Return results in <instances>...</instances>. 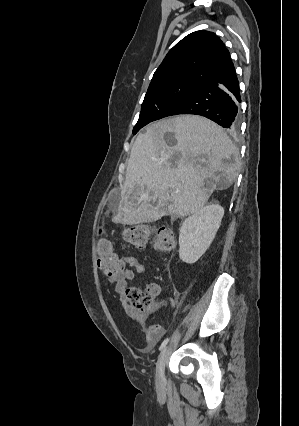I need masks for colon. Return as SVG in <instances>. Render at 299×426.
I'll return each mask as SVG.
<instances>
[{
    "label": "colon",
    "mask_w": 299,
    "mask_h": 426,
    "mask_svg": "<svg viewBox=\"0 0 299 426\" xmlns=\"http://www.w3.org/2000/svg\"><path fill=\"white\" fill-rule=\"evenodd\" d=\"M154 232L153 247L160 254H169L175 250L176 240L173 232L167 227L154 230L146 226H134L126 228L122 232L123 240L137 249L147 245L150 232ZM101 234V230L99 231ZM97 254L99 267L109 276L120 273L124 266L114 251L112 242L100 235L97 241ZM131 307L135 311V317L142 321L144 314L153 311L158 303L150 290L140 291L130 289L127 292Z\"/></svg>",
    "instance_id": "colon-1"
}]
</instances>
